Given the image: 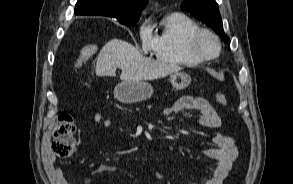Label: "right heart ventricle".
I'll use <instances>...</instances> for the list:
<instances>
[{"mask_svg":"<svg viewBox=\"0 0 293 184\" xmlns=\"http://www.w3.org/2000/svg\"><path fill=\"white\" fill-rule=\"evenodd\" d=\"M199 29L198 24L182 13L166 15L160 24V30L154 36V56L163 62L182 66H196L202 61L188 51L189 36Z\"/></svg>","mask_w":293,"mask_h":184,"instance_id":"obj_1","label":"right heart ventricle"}]
</instances>
